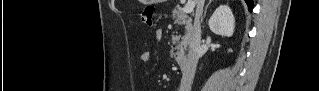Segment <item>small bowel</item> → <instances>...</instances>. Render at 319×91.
Masks as SVG:
<instances>
[{"mask_svg":"<svg viewBox=\"0 0 319 91\" xmlns=\"http://www.w3.org/2000/svg\"><path fill=\"white\" fill-rule=\"evenodd\" d=\"M157 37H160V34H157ZM152 59L151 51H144L141 55L142 62H149Z\"/></svg>","mask_w":319,"mask_h":91,"instance_id":"obj_1","label":"small bowel"}]
</instances>
